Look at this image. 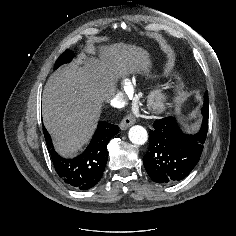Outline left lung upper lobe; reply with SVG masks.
Wrapping results in <instances>:
<instances>
[{
    "label": "left lung upper lobe",
    "instance_id": "5c2ea615",
    "mask_svg": "<svg viewBox=\"0 0 236 236\" xmlns=\"http://www.w3.org/2000/svg\"><path fill=\"white\" fill-rule=\"evenodd\" d=\"M208 107H209V104H208V92L206 91L205 94H204V104H203L201 113L202 114L208 113Z\"/></svg>",
    "mask_w": 236,
    "mask_h": 236
}]
</instances>
